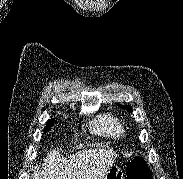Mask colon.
Segmentation results:
<instances>
[{"label":"colon","instance_id":"obj_1","mask_svg":"<svg viewBox=\"0 0 183 179\" xmlns=\"http://www.w3.org/2000/svg\"><path fill=\"white\" fill-rule=\"evenodd\" d=\"M128 179H150V171L139 156H134L127 166Z\"/></svg>","mask_w":183,"mask_h":179}]
</instances>
